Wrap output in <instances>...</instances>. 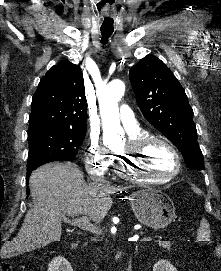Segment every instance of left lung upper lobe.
I'll use <instances>...</instances> for the list:
<instances>
[{"label":"left lung upper lobe","mask_w":221,"mask_h":271,"mask_svg":"<svg viewBox=\"0 0 221 271\" xmlns=\"http://www.w3.org/2000/svg\"><path fill=\"white\" fill-rule=\"evenodd\" d=\"M129 77L146 120L178 147L190 168L204 170L193 110L171 70L156 56L147 55L130 69Z\"/></svg>","instance_id":"left-lung-upper-lobe-1"}]
</instances>
